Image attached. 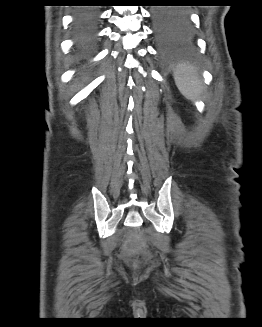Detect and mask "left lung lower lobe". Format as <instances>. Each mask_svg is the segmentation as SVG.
<instances>
[{
    "instance_id": "obj_1",
    "label": "left lung lower lobe",
    "mask_w": 262,
    "mask_h": 327,
    "mask_svg": "<svg viewBox=\"0 0 262 327\" xmlns=\"http://www.w3.org/2000/svg\"><path fill=\"white\" fill-rule=\"evenodd\" d=\"M151 15L162 54L188 56L195 53L192 24L186 12L176 8L156 7Z\"/></svg>"
}]
</instances>
